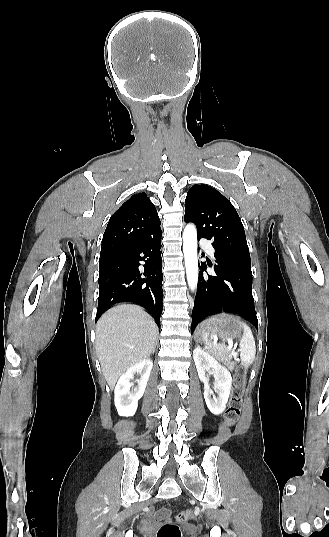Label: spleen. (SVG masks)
Masks as SVG:
<instances>
[{
  "mask_svg": "<svg viewBox=\"0 0 329 537\" xmlns=\"http://www.w3.org/2000/svg\"><path fill=\"white\" fill-rule=\"evenodd\" d=\"M243 331L244 333L240 340L239 351H240V358H241L242 364L244 366H248L255 359V353H256L255 339H254L251 329L246 324H244ZM204 341L208 347L211 348L214 346V343L209 341L207 338H204ZM216 348L223 349L224 345H216Z\"/></svg>",
  "mask_w": 329,
  "mask_h": 537,
  "instance_id": "spleen-1",
  "label": "spleen"
}]
</instances>
